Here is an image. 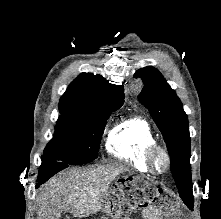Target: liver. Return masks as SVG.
<instances>
[{
    "mask_svg": "<svg viewBox=\"0 0 221 219\" xmlns=\"http://www.w3.org/2000/svg\"><path fill=\"white\" fill-rule=\"evenodd\" d=\"M128 168L121 164L70 169L51 178L37 198L38 219H59L63 211L88 216L103 207L115 178Z\"/></svg>",
    "mask_w": 221,
    "mask_h": 219,
    "instance_id": "1",
    "label": "liver"
}]
</instances>
